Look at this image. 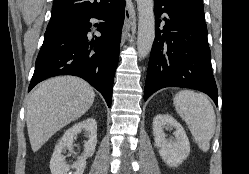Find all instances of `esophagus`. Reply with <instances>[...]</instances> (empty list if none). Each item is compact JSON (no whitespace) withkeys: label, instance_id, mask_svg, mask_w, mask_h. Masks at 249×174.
I'll list each match as a JSON object with an SVG mask.
<instances>
[{"label":"esophagus","instance_id":"esophagus-1","mask_svg":"<svg viewBox=\"0 0 249 174\" xmlns=\"http://www.w3.org/2000/svg\"><path fill=\"white\" fill-rule=\"evenodd\" d=\"M132 14L130 9L127 7L125 11V21L122 28V43L125 41L126 37L129 35L130 26H131Z\"/></svg>","mask_w":249,"mask_h":174}]
</instances>
